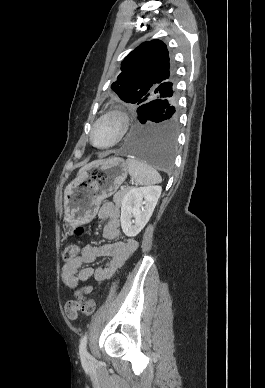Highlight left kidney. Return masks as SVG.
<instances>
[{
    "instance_id": "obj_1",
    "label": "left kidney",
    "mask_w": 265,
    "mask_h": 388,
    "mask_svg": "<svg viewBox=\"0 0 265 388\" xmlns=\"http://www.w3.org/2000/svg\"><path fill=\"white\" fill-rule=\"evenodd\" d=\"M161 192V186H147V188H130L125 194L120 218L125 236L134 238L143 230L153 214Z\"/></svg>"
}]
</instances>
